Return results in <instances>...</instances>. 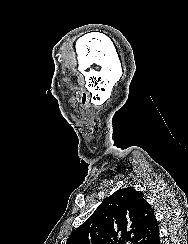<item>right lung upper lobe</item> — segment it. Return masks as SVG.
<instances>
[{"label":"right lung upper lobe","mask_w":188,"mask_h":244,"mask_svg":"<svg viewBox=\"0 0 188 244\" xmlns=\"http://www.w3.org/2000/svg\"><path fill=\"white\" fill-rule=\"evenodd\" d=\"M156 226L149 203L140 192L127 187L106 198L66 244H144Z\"/></svg>","instance_id":"right-lung-upper-lobe-1"}]
</instances>
